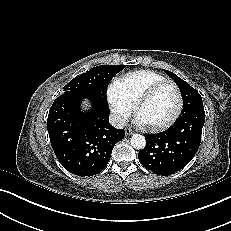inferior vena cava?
Returning a JSON list of instances; mask_svg holds the SVG:
<instances>
[{"mask_svg":"<svg viewBox=\"0 0 231 231\" xmlns=\"http://www.w3.org/2000/svg\"><path fill=\"white\" fill-rule=\"evenodd\" d=\"M109 122L113 127L123 129L125 126H127L128 120L121 115L112 113L110 114Z\"/></svg>","mask_w":231,"mask_h":231,"instance_id":"inferior-vena-cava-1","label":"inferior vena cava"}]
</instances>
